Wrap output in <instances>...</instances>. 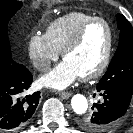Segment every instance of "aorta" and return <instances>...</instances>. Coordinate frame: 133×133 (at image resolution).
Segmentation results:
<instances>
[{"mask_svg":"<svg viewBox=\"0 0 133 133\" xmlns=\"http://www.w3.org/2000/svg\"><path fill=\"white\" fill-rule=\"evenodd\" d=\"M71 106L76 114L82 115L85 114L88 109V101L84 95L76 94L72 97Z\"/></svg>","mask_w":133,"mask_h":133,"instance_id":"1","label":"aorta"}]
</instances>
